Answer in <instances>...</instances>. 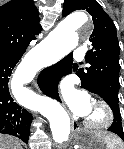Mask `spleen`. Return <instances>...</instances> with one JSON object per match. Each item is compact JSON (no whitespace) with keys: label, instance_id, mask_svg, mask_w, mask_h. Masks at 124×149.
<instances>
[{"label":"spleen","instance_id":"3e777b00","mask_svg":"<svg viewBox=\"0 0 124 149\" xmlns=\"http://www.w3.org/2000/svg\"><path fill=\"white\" fill-rule=\"evenodd\" d=\"M120 144L119 140L115 137L114 140L106 138V149H116Z\"/></svg>","mask_w":124,"mask_h":149}]
</instances>
